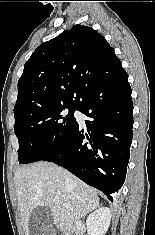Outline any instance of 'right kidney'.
<instances>
[{
    "instance_id": "obj_1",
    "label": "right kidney",
    "mask_w": 155,
    "mask_h": 235,
    "mask_svg": "<svg viewBox=\"0 0 155 235\" xmlns=\"http://www.w3.org/2000/svg\"><path fill=\"white\" fill-rule=\"evenodd\" d=\"M111 210L99 208L90 214L86 220L88 235H105L111 222Z\"/></svg>"
}]
</instances>
